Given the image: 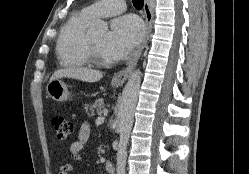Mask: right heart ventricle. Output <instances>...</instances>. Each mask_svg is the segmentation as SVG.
Segmentation results:
<instances>
[{
  "instance_id": "e07e8e85",
  "label": "right heart ventricle",
  "mask_w": 249,
  "mask_h": 174,
  "mask_svg": "<svg viewBox=\"0 0 249 174\" xmlns=\"http://www.w3.org/2000/svg\"><path fill=\"white\" fill-rule=\"evenodd\" d=\"M92 17L85 10L73 14L63 26L58 43L57 55L62 65L82 67L89 63L86 52L87 26Z\"/></svg>"
}]
</instances>
